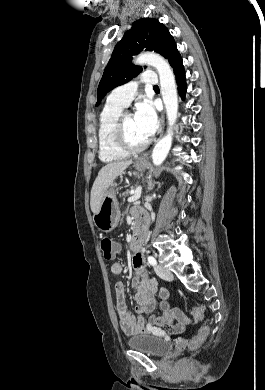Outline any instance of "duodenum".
Segmentation results:
<instances>
[{
    "label": "duodenum",
    "instance_id": "duodenum-1",
    "mask_svg": "<svg viewBox=\"0 0 265 390\" xmlns=\"http://www.w3.org/2000/svg\"><path fill=\"white\" fill-rule=\"evenodd\" d=\"M146 226L147 220L144 216L137 215L133 227V235L131 238L130 246L134 249H140L146 239Z\"/></svg>",
    "mask_w": 265,
    "mask_h": 390
}]
</instances>
